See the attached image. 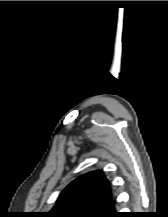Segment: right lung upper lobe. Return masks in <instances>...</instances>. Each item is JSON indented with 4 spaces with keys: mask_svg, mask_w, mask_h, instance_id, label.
<instances>
[{
    "mask_svg": "<svg viewBox=\"0 0 168 217\" xmlns=\"http://www.w3.org/2000/svg\"><path fill=\"white\" fill-rule=\"evenodd\" d=\"M116 213L110 184L101 171L72 181L59 195L46 217H109Z\"/></svg>",
    "mask_w": 168,
    "mask_h": 217,
    "instance_id": "cb5924a9",
    "label": "right lung upper lobe"
}]
</instances>
